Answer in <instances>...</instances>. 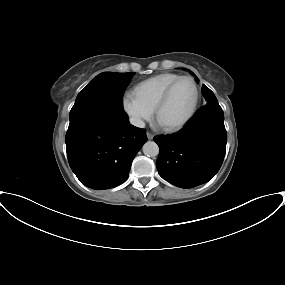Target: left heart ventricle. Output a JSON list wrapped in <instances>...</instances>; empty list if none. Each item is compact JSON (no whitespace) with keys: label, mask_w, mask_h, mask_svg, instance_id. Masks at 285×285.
Instances as JSON below:
<instances>
[{"label":"left heart ventricle","mask_w":285,"mask_h":285,"mask_svg":"<svg viewBox=\"0 0 285 285\" xmlns=\"http://www.w3.org/2000/svg\"><path fill=\"white\" fill-rule=\"evenodd\" d=\"M195 99V89L188 79L181 80L173 89L166 105L159 113L158 123L169 126L183 120L190 112Z\"/></svg>","instance_id":"obj_1"}]
</instances>
